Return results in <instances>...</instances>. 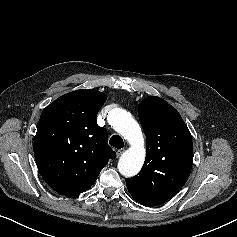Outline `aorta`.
<instances>
[{
	"mask_svg": "<svg viewBox=\"0 0 237 237\" xmlns=\"http://www.w3.org/2000/svg\"><path fill=\"white\" fill-rule=\"evenodd\" d=\"M108 122L130 144V148L119 159L118 170L122 175L132 177L141 170L145 160L141 128L131 114L121 108H114L108 112Z\"/></svg>",
	"mask_w": 237,
	"mask_h": 237,
	"instance_id": "762f6f07",
	"label": "aorta"
}]
</instances>
